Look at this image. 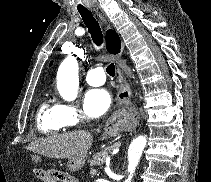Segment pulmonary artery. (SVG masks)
<instances>
[{"label":"pulmonary artery","mask_w":211,"mask_h":182,"mask_svg":"<svg viewBox=\"0 0 211 182\" xmlns=\"http://www.w3.org/2000/svg\"><path fill=\"white\" fill-rule=\"evenodd\" d=\"M86 81L91 86H100L105 82V73L103 68L98 67L87 73Z\"/></svg>","instance_id":"1"}]
</instances>
